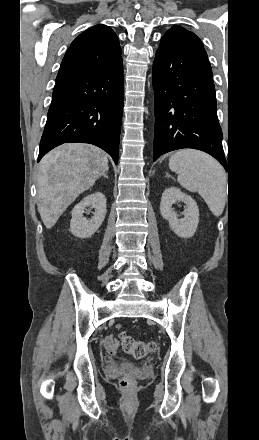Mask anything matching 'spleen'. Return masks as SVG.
Returning a JSON list of instances; mask_svg holds the SVG:
<instances>
[{
	"label": "spleen",
	"mask_w": 259,
	"mask_h": 440,
	"mask_svg": "<svg viewBox=\"0 0 259 440\" xmlns=\"http://www.w3.org/2000/svg\"><path fill=\"white\" fill-rule=\"evenodd\" d=\"M169 168L178 173V182L183 188L201 195L215 216L223 213L227 177L213 157L201 151L183 149L170 157Z\"/></svg>",
	"instance_id": "1"
}]
</instances>
